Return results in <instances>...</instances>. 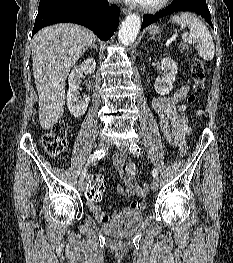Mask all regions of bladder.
Returning a JSON list of instances; mask_svg holds the SVG:
<instances>
[{
  "label": "bladder",
  "instance_id": "obj_1",
  "mask_svg": "<svg viewBox=\"0 0 233 263\" xmlns=\"http://www.w3.org/2000/svg\"><path fill=\"white\" fill-rule=\"evenodd\" d=\"M144 214L140 210L122 209L110 221L102 223L101 230L112 237L131 235L142 223Z\"/></svg>",
  "mask_w": 233,
  "mask_h": 263
}]
</instances>
